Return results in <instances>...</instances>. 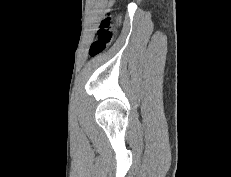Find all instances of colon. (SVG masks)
Masks as SVG:
<instances>
[{
    "instance_id": "5ec220e1",
    "label": "colon",
    "mask_w": 231,
    "mask_h": 177,
    "mask_svg": "<svg viewBox=\"0 0 231 177\" xmlns=\"http://www.w3.org/2000/svg\"><path fill=\"white\" fill-rule=\"evenodd\" d=\"M115 30L110 18H105L98 29L97 37L90 48L91 55H97L104 51L112 42Z\"/></svg>"
}]
</instances>
